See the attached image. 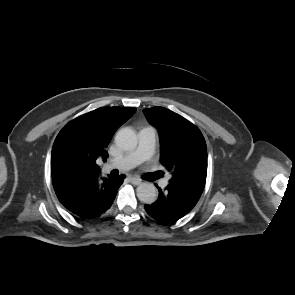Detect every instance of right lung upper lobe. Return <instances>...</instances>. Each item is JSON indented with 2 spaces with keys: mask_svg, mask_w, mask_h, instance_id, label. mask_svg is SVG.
I'll use <instances>...</instances> for the list:
<instances>
[{
  "mask_svg": "<svg viewBox=\"0 0 295 295\" xmlns=\"http://www.w3.org/2000/svg\"><path fill=\"white\" fill-rule=\"evenodd\" d=\"M135 111L130 107H101L66 124L52 148L53 182L98 175L96 160L108 157L106 147L113 134Z\"/></svg>",
  "mask_w": 295,
  "mask_h": 295,
  "instance_id": "obj_1",
  "label": "right lung upper lobe"
}]
</instances>
